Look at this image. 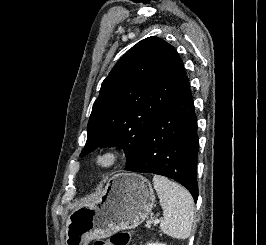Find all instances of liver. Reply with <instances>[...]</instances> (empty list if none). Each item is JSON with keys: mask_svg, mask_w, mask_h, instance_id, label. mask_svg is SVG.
Returning a JSON list of instances; mask_svg holds the SVG:
<instances>
[{"mask_svg": "<svg viewBox=\"0 0 266 245\" xmlns=\"http://www.w3.org/2000/svg\"><path fill=\"white\" fill-rule=\"evenodd\" d=\"M84 207H88V205H84Z\"/></svg>", "mask_w": 266, "mask_h": 245, "instance_id": "liver-1", "label": "liver"}]
</instances>
